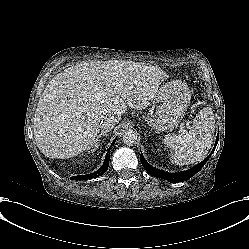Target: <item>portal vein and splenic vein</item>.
I'll use <instances>...</instances> for the list:
<instances>
[{"mask_svg":"<svg viewBox=\"0 0 249 249\" xmlns=\"http://www.w3.org/2000/svg\"><path fill=\"white\" fill-rule=\"evenodd\" d=\"M180 131H181L182 133H184V132H185V129H181Z\"/></svg>","mask_w":249,"mask_h":249,"instance_id":"obj_1","label":"portal vein and splenic vein"}]
</instances>
